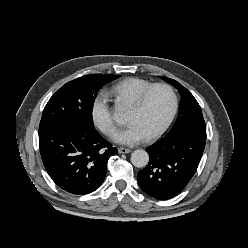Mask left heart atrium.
Here are the masks:
<instances>
[{"label":"left heart atrium","mask_w":248,"mask_h":248,"mask_svg":"<svg viewBox=\"0 0 248 248\" xmlns=\"http://www.w3.org/2000/svg\"><path fill=\"white\" fill-rule=\"evenodd\" d=\"M147 139V135L136 123H129L113 135V140L119 144L135 145Z\"/></svg>","instance_id":"obj_1"}]
</instances>
